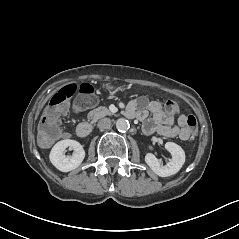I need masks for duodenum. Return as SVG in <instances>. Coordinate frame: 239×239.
<instances>
[{"mask_svg":"<svg viewBox=\"0 0 239 239\" xmlns=\"http://www.w3.org/2000/svg\"><path fill=\"white\" fill-rule=\"evenodd\" d=\"M92 125L88 122H82L77 127V134L79 137L85 138L92 132Z\"/></svg>","mask_w":239,"mask_h":239,"instance_id":"obj_1","label":"duodenum"}]
</instances>
